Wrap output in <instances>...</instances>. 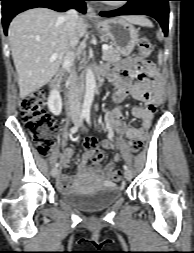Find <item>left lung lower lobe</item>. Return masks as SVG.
I'll return each mask as SVG.
<instances>
[{"mask_svg": "<svg viewBox=\"0 0 194 253\" xmlns=\"http://www.w3.org/2000/svg\"><path fill=\"white\" fill-rule=\"evenodd\" d=\"M128 1L123 7L100 12L103 17L119 15H148L155 18L161 25L165 35L168 33L169 4L171 0H125Z\"/></svg>", "mask_w": 194, "mask_h": 253, "instance_id": "obj_1", "label": "left lung lower lobe"}]
</instances>
